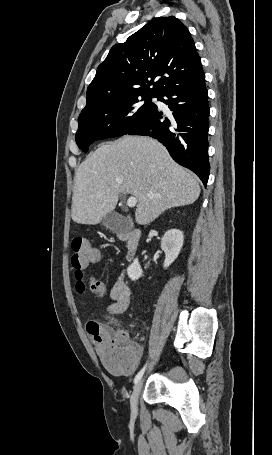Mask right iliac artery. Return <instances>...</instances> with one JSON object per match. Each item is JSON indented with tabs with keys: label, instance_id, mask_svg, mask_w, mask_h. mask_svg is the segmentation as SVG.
<instances>
[{
	"label": "right iliac artery",
	"instance_id": "82829eb1",
	"mask_svg": "<svg viewBox=\"0 0 272 455\" xmlns=\"http://www.w3.org/2000/svg\"><path fill=\"white\" fill-rule=\"evenodd\" d=\"M147 364L138 372V374L135 376L134 383L136 384L142 377L145 369H146Z\"/></svg>",
	"mask_w": 272,
	"mask_h": 455
}]
</instances>
